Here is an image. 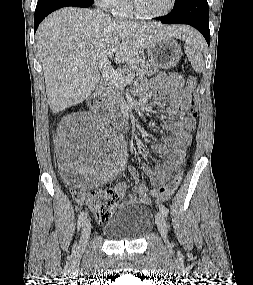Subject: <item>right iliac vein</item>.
I'll return each mask as SVG.
<instances>
[{"mask_svg":"<svg viewBox=\"0 0 253 285\" xmlns=\"http://www.w3.org/2000/svg\"><path fill=\"white\" fill-rule=\"evenodd\" d=\"M90 233H91V223L89 220H87L84 222V224L82 226V230H81V237H80V242L78 245V252L79 253L84 252V250L87 246L89 237H90Z\"/></svg>","mask_w":253,"mask_h":285,"instance_id":"obj_1","label":"right iliac vein"}]
</instances>
